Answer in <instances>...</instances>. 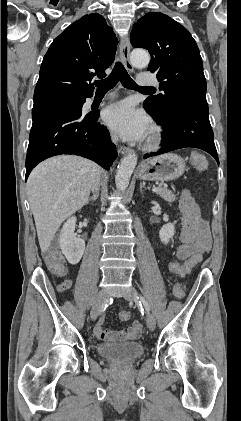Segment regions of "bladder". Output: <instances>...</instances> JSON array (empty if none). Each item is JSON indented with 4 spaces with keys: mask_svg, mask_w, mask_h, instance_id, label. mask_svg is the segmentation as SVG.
Instances as JSON below:
<instances>
[{
    "mask_svg": "<svg viewBox=\"0 0 241 421\" xmlns=\"http://www.w3.org/2000/svg\"><path fill=\"white\" fill-rule=\"evenodd\" d=\"M99 355L116 363H129L140 358L144 347L139 342L100 343L97 346Z\"/></svg>",
    "mask_w": 241,
    "mask_h": 421,
    "instance_id": "1",
    "label": "bladder"
}]
</instances>
